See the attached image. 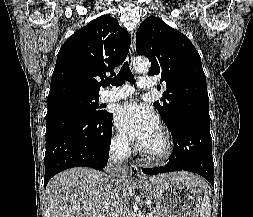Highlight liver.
I'll use <instances>...</instances> for the list:
<instances>
[{
  "label": "liver",
  "mask_w": 253,
  "mask_h": 217,
  "mask_svg": "<svg viewBox=\"0 0 253 217\" xmlns=\"http://www.w3.org/2000/svg\"><path fill=\"white\" fill-rule=\"evenodd\" d=\"M175 179L192 186L205 188L206 183L189 172H175L150 177L152 184L165 179ZM110 178L97 170L76 167L61 172L47 186V200L51 217H122L128 204L132 187L123 180L119 207H114L110 193Z\"/></svg>",
  "instance_id": "1"
}]
</instances>
